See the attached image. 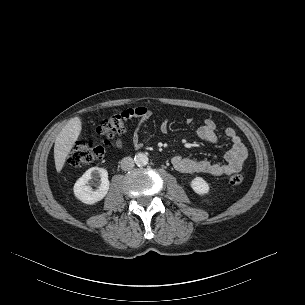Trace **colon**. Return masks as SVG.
<instances>
[{"label": "colon", "instance_id": "colon-1", "mask_svg": "<svg viewBox=\"0 0 305 305\" xmlns=\"http://www.w3.org/2000/svg\"><path fill=\"white\" fill-rule=\"evenodd\" d=\"M131 117V113L126 110L105 119L97 128V134L102 138V142L73 145L68 153L67 162L72 166H87L103 159L111 146V140L126 130ZM243 180L242 175L234 174L229 182L231 185H240Z\"/></svg>", "mask_w": 305, "mask_h": 305}]
</instances>
